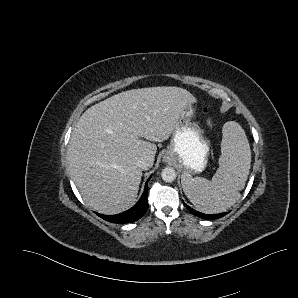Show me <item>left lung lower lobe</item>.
Wrapping results in <instances>:
<instances>
[{"label": "left lung lower lobe", "instance_id": "obj_1", "mask_svg": "<svg viewBox=\"0 0 298 298\" xmlns=\"http://www.w3.org/2000/svg\"><path fill=\"white\" fill-rule=\"evenodd\" d=\"M183 204L185 205V207H187V209H188L192 214H194V215H196V216H198V217H200V218H202V219H216V218H220V217H222V216H224V215L227 214V212H225V213H221V214H212V215H209V214H203V213H200V212H198V211H196V210L190 208V207H189L188 205H186L184 202H183Z\"/></svg>", "mask_w": 298, "mask_h": 298}]
</instances>
